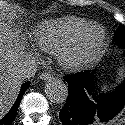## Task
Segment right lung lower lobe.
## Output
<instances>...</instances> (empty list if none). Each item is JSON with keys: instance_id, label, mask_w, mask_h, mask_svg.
<instances>
[{"instance_id": "1", "label": "right lung lower lobe", "mask_w": 125, "mask_h": 125, "mask_svg": "<svg viewBox=\"0 0 125 125\" xmlns=\"http://www.w3.org/2000/svg\"><path fill=\"white\" fill-rule=\"evenodd\" d=\"M29 85H30V82H25L21 86L19 95H18L15 103L13 104L11 109L8 111V113L2 119H0V125H11L12 124V122L14 121V119L16 117L20 101H21L25 91L28 89Z\"/></svg>"}]
</instances>
